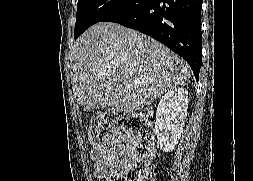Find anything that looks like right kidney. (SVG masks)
I'll return each instance as SVG.
<instances>
[{
  "label": "right kidney",
  "mask_w": 253,
  "mask_h": 181,
  "mask_svg": "<svg viewBox=\"0 0 253 181\" xmlns=\"http://www.w3.org/2000/svg\"><path fill=\"white\" fill-rule=\"evenodd\" d=\"M188 91L173 88L159 101L155 132L158 145L163 152H170L181 137L188 108Z\"/></svg>",
  "instance_id": "1"
}]
</instances>
